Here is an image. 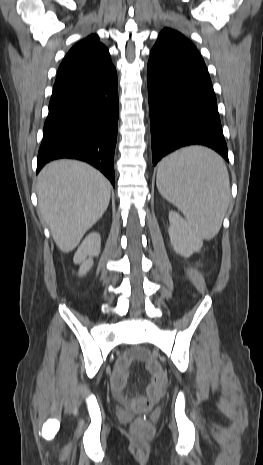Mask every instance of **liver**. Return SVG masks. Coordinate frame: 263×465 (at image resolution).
Returning a JSON list of instances; mask_svg holds the SVG:
<instances>
[{
    "label": "liver",
    "mask_w": 263,
    "mask_h": 465,
    "mask_svg": "<svg viewBox=\"0 0 263 465\" xmlns=\"http://www.w3.org/2000/svg\"><path fill=\"white\" fill-rule=\"evenodd\" d=\"M36 191L42 219L58 248L68 253L106 211L111 184L90 165L62 159L41 170Z\"/></svg>",
    "instance_id": "1"
}]
</instances>
